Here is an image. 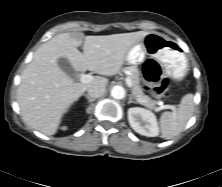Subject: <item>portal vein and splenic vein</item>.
I'll return each mask as SVG.
<instances>
[{
	"instance_id": "portal-vein-and-splenic-vein-1",
	"label": "portal vein and splenic vein",
	"mask_w": 222,
	"mask_h": 187,
	"mask_svg": "<svg viewBox=\"0 0 222 187\" xmlns=\"http://www.w3.org/2000/svg\"><path fill=\"white\" fill-rule=\"evenodd\" d=\"M93 80V76L89 74H84L80 77V82L83 84L90 83ZM126 84L128 87H132V81L129 77L126 78ZM161 108L163 109H171V110H176L175 105H164L163 103L160 104Z\"/></svg>"
}]
</instances>
